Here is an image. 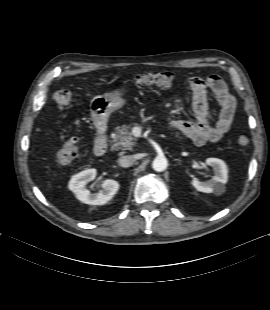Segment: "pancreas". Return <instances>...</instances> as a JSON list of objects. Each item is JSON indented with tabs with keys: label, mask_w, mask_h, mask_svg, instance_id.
Returning <instances> with one entry per match:
<instances>
[{
	"label": "pancreas",
	"mask_w": 270,
	"mask_h": 310,
	"mask_svg": "<svg viewBox=\"0 0 270 310\" xmlns=\"http://www.w3.org/2000/svg\"><path fill=\"white\" fill-rule=\"evenodd\" d=\"M131 125H122L115 128V133L113 135V149H131L135 144L132 133L130 132Z\"/></svg>",
	"instance_id": "1"
}]
</instances>
